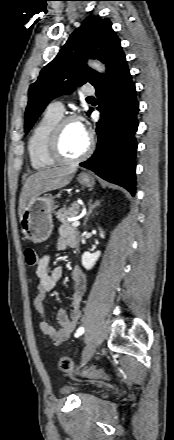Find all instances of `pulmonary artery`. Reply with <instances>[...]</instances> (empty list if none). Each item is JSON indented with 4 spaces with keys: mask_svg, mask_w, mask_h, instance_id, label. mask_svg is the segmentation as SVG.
Returning <instances> with one entry per match:
<instances>
[{
    "mask_svg": "<svg viewBox=\"0 0 174 440\" xmlns=\"http://www.w3.org/2000/svg\"><path fill=\"white\" fill-rule=\"evenodd\" d=\"M82 92L84 95H92V94H94L95 89L91 86H86L83 88ZM47 111L52 114H55V115L62 117L64 114V111H65V108H64V105L62 102L55 101V102H52L48 105Z\"/></svg>",
    "mask_w": 174,
    "mask_h": 440,
    "instance_id": "pulmonary-artery-1",
    "label": "pulmonary artery"
}]
</instances>
